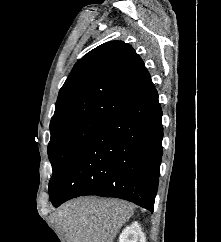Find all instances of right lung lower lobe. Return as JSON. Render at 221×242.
<instances>
[{
    "label": "right lung lower lobe",
    "instance_id": "1",
    "mask_svg": "<svg viewBox=\"0 0 221 242\" xmlns=\"http://www.w3.org/2000/svg\"><path fill=\"white\" fill-rule=\"evenodd\" d=\"M162 110L154 85L83 141L50 190L54 207L78 196L116 197L154 210L162 158Z\"/></svg>",
    "mask_w": 221,
    "mask_h": 242
}]
</instances>
